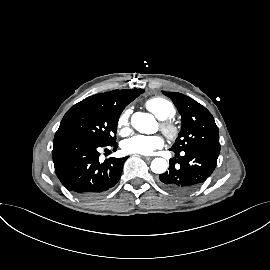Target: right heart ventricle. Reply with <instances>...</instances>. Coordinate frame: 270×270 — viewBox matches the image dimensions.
<instances>
[{"label":"right heart ventricle","mask_w":270,"mask_h":270,"mask_svg":"<svg viewBox=\"0 0 270 270\" xmlns=\"http://www.w3.org/2000/svg\"><path fill=\"white\" fill-rule=\"evenodd\" d=\"M146 108L153 113L158 119L166 120L175 115L174 105L162 97H153L145 102Z\"/></svg>","instance_id":"e07e8e85"}]
</instances>
